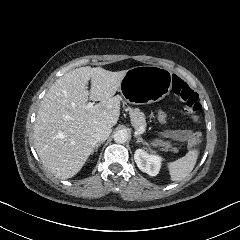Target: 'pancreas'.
Masks as SVG:
<instances>
[{"label": "pancreas", "mask_w": 240, "mask_h": 240, "mask_svg": "<svg viewBox=\"0 0 240 240\" xmlns=\"http://www.w3.org/2000/svg\"><path fill=\"white\" fill-rule=\"evenodd\" d=\"M129 115H130V118H131V123H132V126L135 128V129H139L141 126L142 127H145L146 126V119H145V115L144 113H142L140 111V109L138 108H129ZM152 146H155V147H162L161 150L162 151H171V152H174V153H178V148L176 147H172L171 143L169 141H163L161 139H155L152 143Z\"/></svg>", "instance_id": "pancreas-1"}]
</instances>
